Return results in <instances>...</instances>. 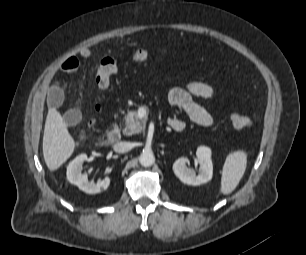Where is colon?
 Wrapping results in <instances>:
<instances>
[{"instance_id":"1","label":"colon","mask_w":306,"mask_h":255,"mask_svg":"<svg viewBox=\"0 0 306 255\" xmlns=\"http://www.w3.org/2000/svg\"><path fill=\"white\" fill-rule=\"evenodd\" d=\"M149 53L145 48H138L133 54V60L137 63H144L148 59ZM120 68L119 62L111 57L103 58L97 67L96 84L102 92H106L110 87L111 78ZM100 107L97 106L96 110ZM228 120L236 129H249L253 126V121L245 116L235 112L228 114Z\"/></svg>"}]
</instances>
